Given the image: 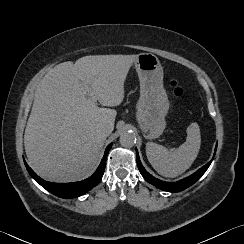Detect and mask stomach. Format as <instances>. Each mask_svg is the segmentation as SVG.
<instances>
[{"mask_svg": "<svg viewBox=\"0 0 244 244\" xmlns=\"http://www.w3.org/2000/svg\"><path fill=\"white\" fill-rule=\"evenodd\" d=\"M140 80L136 119L148 139L161 136L166 128L170 103L163 87V67L152 53H140L134 62Z\"/></svg>", "mask_w": 244, "mask_h": 244, "instance_id": "obj_1", "label": "stomach"}]
</instances>
